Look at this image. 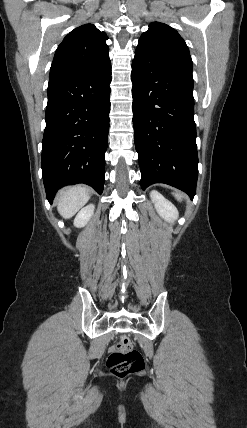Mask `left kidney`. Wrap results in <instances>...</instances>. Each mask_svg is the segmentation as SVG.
<instances>
[{
  "label": "left kidney",
  "instance_id": "5707ae66",
  "mask_svg": "<svg viewBox=\"0 0 247 428\" xmlns=\"http://www.w3.org/2000/svg\"><path fill=\"white\" fill-rule=\"evenodd\" d=\"M150 197L157 212L164 220L173 223L177 219V208L163 195H161L158 191L153 190L150 193Z\"/></svg>",
  "mask_w": 247,
  "mask_h": 428
}]
</instances>
